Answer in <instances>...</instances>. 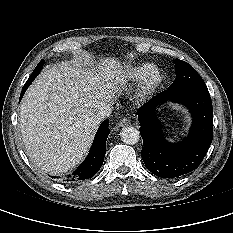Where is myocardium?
<instances>
[{
  "instance_id": "myocardium-1",
  "label": "myocardium",
  "mask_w": 233,
  "mask_h": 233,
  "mask_svg": "<svg viewBox=\"0 0 233 233\" xmlns=\"http://www.w3.org/2000/svg\"><path fill=\"white\" fill-rule=\"evenodd\" d=\"M165 79L164 73L160 69H153L141 82L137 96L145 98L152 94Z\"/></svg>"
}]
</instances>
